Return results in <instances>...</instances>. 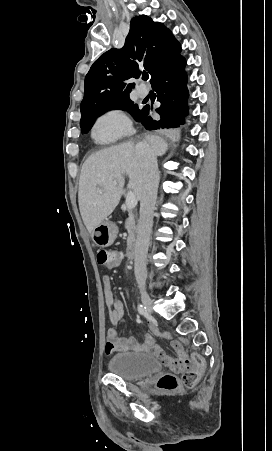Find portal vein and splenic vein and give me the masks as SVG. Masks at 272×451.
Masks as SVG:
<instances>
[{"instance_id":"obj_1","label":"portal vein and splenic vein","mask_w":272,"mask_h":451,"mask_svg":"<svg viewBox=\"0 0 272 451\" xmlns=\"http://www.w3.org/2000/svg\"><path fill=\"white\" fill-rule=\"evenodd\" d=\"M116 184V182H114ZM99 194H103V190H98ZM126 206L128 210H133L135 206H137L136 196H134L133 192H128L126 198Z\"/></svg>"}]
</instances>
